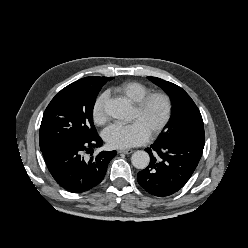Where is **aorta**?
<instances>
[{"instance_id": "aorta-1", "label": "aorta", "mask_w": 248, "mask_h": 248, "mask_svg": "<svg viewBox=\"0 0 248 248\" xmlns=\"http://www.w3.org/2000/svg\"><path fill=\"white\" fill-rule=\"evenodd\" d=\"M104 110L109 116L118 120H128L131 114L130 104L120 98L106 101ZM131 162L137 169H145L150 162V156L143 150H138L132 154Z\"/></svg>"}]
</instances>
